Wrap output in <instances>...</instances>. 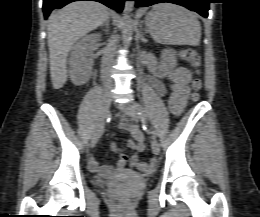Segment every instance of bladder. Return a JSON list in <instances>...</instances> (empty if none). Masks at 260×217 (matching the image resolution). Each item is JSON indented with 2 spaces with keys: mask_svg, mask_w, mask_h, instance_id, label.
I'll return each mask as SVG.
<instances>
[{
  "mask_svg": "<svg viewBox=\"0 0 260 217\" xmlns=\"http://www.w3.org/2000/svg\"><path fill=\"white\" fill-rule=\"evenodd\" d=\"M123 173L126 174V176L129 177V178H138L139 177V175L136 172L125 171Z\"/></svg>",
  "mask_w": 260,
  "mask_h": 217,
  "instance_id": "obj_1",
  "label": "bladder"
}]
</instances>
